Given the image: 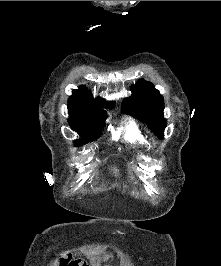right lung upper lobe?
<instances>
[{"label":"right lung upper lobe","instance_id":"1","mask_svg":"<svg viewBox=\"0 0 221 266\" xmlns=\"http://www.w3.org/2000/svg\"><path fill=\"white\" fill-rule=\"evenodd\" d=\"M72 96L68 101L69 113L81 117H103L107 116L102 109L106 104L110 108L114 106L112 102L104 103L101 98L94 99L93 95L85 88L80 87V90H73Z\"/></svg>","mask_w":221,"mask_h":266}]
</instances>
